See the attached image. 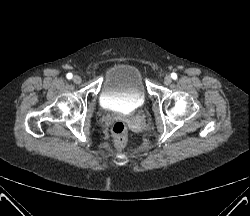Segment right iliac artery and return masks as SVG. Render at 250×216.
I'll use <instances>...</instances> for the list:
<instances>
[{
    "mask_svg": "<svg viewBox=\"0 0 250 216\" xmlns=\"http://www.w3.org/2000/svg\"><path fill=\"white\" fill-rule=\"evenodd\" d=\"M66 77H67L68 79H72L73 75H72V73H68V74L66 75Z\"/></svg>",
    "mask_w": 250,
    "mask_h": 216,
    "instance_id": "obj_1",
    "label": "right iliac artery"
}]
</instances>
